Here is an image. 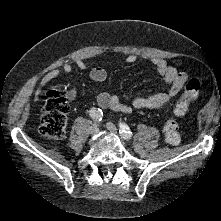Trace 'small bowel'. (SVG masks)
<instances>
[{"label":"small bowel","instance_id":"obj_1","mask_svg":"<svg viewBox=\"0 0 221 221\" xmlns=\"http://www.w3.org/2000/svg\"><path fill=\"white\" fill-rule=\"evenodd\" d=\"M137 56L135 54H128L126 56V62L131 64L136 62ZM77 68L86 70L88 68L87 63L82 59L75 61ZM152 65L157 70L158 75L168 85V89L164 92H158L149 96H135L132 99L131 105H127L121 101L116 95H110L105 91H100L97 94L98 106L105 110L110 109L124 114H130L133 109H160L169 105L170 101L179 94L188 80L187 73L178 70L176 67L169 65L162 58H153ZM70 74L73 72V66L69 63H65L61 69H53L49 71L40 81L37 89V95H39L42 89L57 78L60 72ZM90 78L96 83H102L107 78V72L101 67L92 68L90 71Z\"/></svg>","mask_w":221,"mask_h":221}]
</instances>
